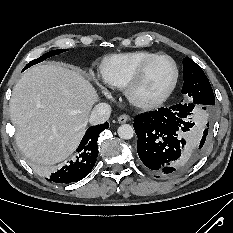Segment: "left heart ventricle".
<instances>
[{"label":"left heart ventricle","mask_w":233,"mask_h":233,"mask_svg":"<svg viewBox=\"0 0 233 233\" xmlns=\"http://www.w3.org/2000/svg\"><path fill=\"white\" fill-rule=\"evenodd\" d=\"M173 77V66L170 60L161 58L155 61L146 71L138 89L137 96L150 99L159 95Z\"/></svg>","instance_id":"1"}]
</instances>
